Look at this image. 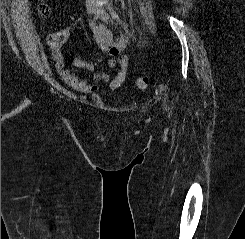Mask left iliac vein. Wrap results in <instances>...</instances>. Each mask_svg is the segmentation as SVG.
I'll use <instances>...</instances> for the list:
<instances>
[{"mask_svg": "<svg viewBox=\"0 0 245 239\" xmlns=\"http://www.w3.org/2000/svg\"><path fill=\"white\" fill-rule=\"evenodd\" d=\"M96 15L105 23L110 21V15L107 13L105 8L101 5L97 6L96 8Z\"/></svg>", "mask_w": 245, "mask_h": 239, "instance_id": "1", "label": "left iliac vein"}]
</instances>
